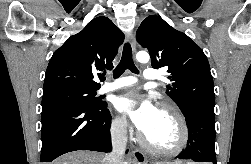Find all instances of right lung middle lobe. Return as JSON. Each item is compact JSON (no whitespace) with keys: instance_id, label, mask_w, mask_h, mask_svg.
<instances>
[{"instance_id":"right-lung-middle-lobe-1","label":"right lung middle lobe","mask_w":251,"mask_h":164,"mask_svg":"<svg viewBox=\"0 0 251 164\" xmlns=\"http://www.w3.org/2000/svg\"><path fill=\"white\" fill-rule=\"evenodd\" d=\"M97 90L76 87H60L45 91L42 107L52 104H72L86 107H99L104 104L96 96Z\"/></svg>"}]
</instances>
